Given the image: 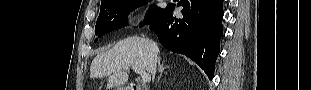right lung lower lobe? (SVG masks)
I'll return each instance as SVG.
<instances>
[{
  "label": "right lung lower lobe",
  "mask_w": 311,
  "mask_h": 90,
  "mask_svg": "<svg viewBox=\"0 0 311 90\" xmlns=\"http://www.w3.org/2000/svg\"><path fill=\"white\" fill-rule=\"evenodd\" d=\"M222 4L223 0H181V19L172 15L175 5L169 4L150 29L166 49L186 55L213 78L223 34Z\"/></svg>",
  "instance_id": "obj_1"
}]
</instances>
